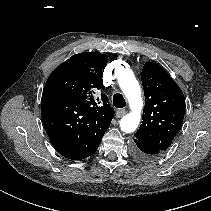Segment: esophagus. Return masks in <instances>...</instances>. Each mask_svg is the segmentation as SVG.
<instances>
[{
	"label": "esophagus",
	"instance_id": "34e87169",
	"mask_svg": "<svg viewBox=\"0 0 211 211\" xmlns=\"http://www.w3.org/2000/svg\"><path fill=\"white\" fill-rule=\"evenodd\" d=\"M127 113V111L125 109H118L116 111V117L117 118H121L122 116H124Z\"/></svg>",
	"mask_w": 211,
	"mask_h": 211
}]
</instances>
